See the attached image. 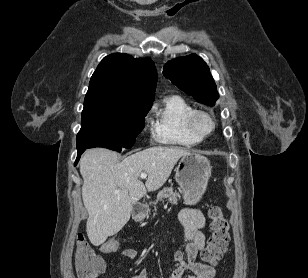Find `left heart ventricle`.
Returning <instances> with one entry per match:
<instances>
[{
  "mask_svg": "<svg viewBox=\"0 0 308 278\" xmlns=\"http://www.w3.org/2000/svg\"><path fill=\"white\" fill-rule=\"evenodd\" d=\"M197 127L201 132H208L211 129V123L205 117H200L197 120Z\"/></svg>",
  "mask_w": 308,
  "mask_h": 278,
  "instance_id": "1",
  "label": "left heart ventricle"
}]
</instances>
